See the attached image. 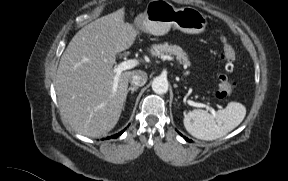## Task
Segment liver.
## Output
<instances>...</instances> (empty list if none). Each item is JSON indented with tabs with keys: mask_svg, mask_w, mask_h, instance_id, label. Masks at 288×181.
<instances>
[{
	"mask_svg": "<svg viewBox=\"0 0 288 181\" xmlns=\"http://www.w3.org/2000/svg\"><path fill=\"white\" fill-rule=\"evenodd\" d=\"M124 15L121 8L84 26L61 56L55 82L58 103L68 123L82 135L109 132L121 115L136 71L122 72L113 90L116 54L130 48L137 36Z\"/></svg>",
	"mask_w": 288,
	"mask_h": 181,
	"instance_id": "6515ba94",
	"label": "liver"
}]
</instances>
